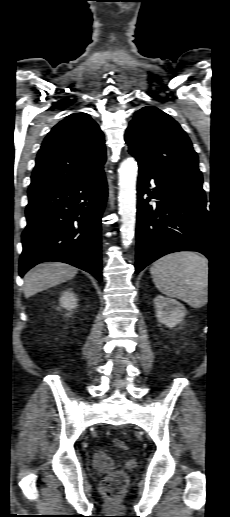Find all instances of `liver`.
I'll return each mask as SVG.
<instances>
[{
  "label": "liver",
  "mask_w": 230,
  "mask_h": 517,
  "mask_svg": "<svg viewBox=\"0 0 230 517\" xmlns=\"http://www.w3.org/2000/svg\"><path fill=\"white\" fill-rule=\"evenodd\" d=\"M78 273V269L66 263H40L24 276V295L26 298L48 288L66 282Z\"/></svg>",
  "instance_id": "6515ba94"
}]
</instances>
